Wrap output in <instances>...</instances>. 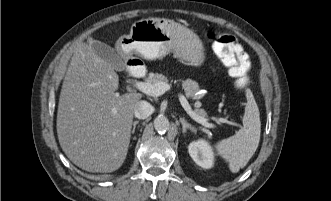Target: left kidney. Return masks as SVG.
Masks as SVG:
<instances>
[{"mask_svg": "<svg viewBox=\"0 0 331 201\" xmlns=\"http://www.w3.org/2000/svg\"><path fill=\"white\" fill-rule=\"evenodd\" d=\"M188 151L194 162L202 168L209 169L214 164V153L205 140L190 143Z\"/></svg>", "mask_w": 331, "mask_h": 201, "instance_id": "obj_1", "label": "left kidney"}]
</instances>
